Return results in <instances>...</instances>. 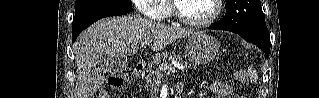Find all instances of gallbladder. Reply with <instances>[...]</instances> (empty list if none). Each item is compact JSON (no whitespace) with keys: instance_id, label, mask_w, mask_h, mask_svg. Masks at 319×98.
I'll use <instances>...</instances> for the list:
<instances>
[{"instance_id":"1","label":"gallbladder","mask_w":319,"mask_h":98,"mask_svg":"<svg viewBox=\"0 0 319 98\" xmlns=\"http://www.w3.org/2000/svg\"><path fill=\"white\" fill-rule=\"evenodd\" d=\"M97 63L101 73H116L127 67V59L115 54H104L98 58Z\"/></svg>"}]
</instances>
